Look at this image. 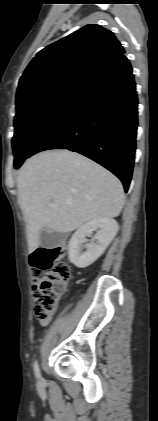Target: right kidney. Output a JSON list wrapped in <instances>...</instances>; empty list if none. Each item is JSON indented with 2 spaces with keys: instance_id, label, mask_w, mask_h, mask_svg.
<instances>
[{
  "instance_id": "obj_1",
  "label": "right kidney",
  "mask_w": 158,
  "mask_h": 421,
  "mask_svg": "<svg viewBox=\"0 0 158 421\" xmlns=\"http://www.w3.org/2000/svg\"><path fill=\"white\" fill-rule=\"evenodd\" d=\"M97 233L93 240L86 245V251L82 252V244L85 236ZM118 232V224L112 218L94 219L80 226L72 235L69 246V260L78 268H86L94 263L106 250Z\"/></svg>"
}]
</instances>
